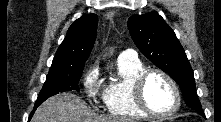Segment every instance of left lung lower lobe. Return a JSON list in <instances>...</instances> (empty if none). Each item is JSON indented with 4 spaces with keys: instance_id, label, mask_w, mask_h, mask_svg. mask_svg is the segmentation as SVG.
I'll list each match as a JSON object with an SVG mask.
<instances>
[{
    "instance_id": "left-lung-lower-lobe-1",
    "label": "left lung lower lobe",
    "mask_w": 221,
    "mask_h": 122,
    "mask_svg": "<svg viewBox=\"0 0 221 122\" xmlns=\"http://www.w3.org/2000/svg\"><path fill=\"white\" fill-rule=\"evenodd\" d=\"M199 114H200L201 116L205 117L204 112H199Z\"/></svg>"
}]
</instances>
